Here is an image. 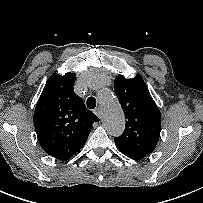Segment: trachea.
Instances as JSON below:
<instances>
[{
	"label": "trachea",
	"mask_w": 203,
	"mask_h": 203,
	"mask_svg": "<svg viewBox=\"0 0 203 203\" xmlns=\"http://www.w3.org/2000/svg\"><path fill=\"white\" fill-rule=\"evenodd\" d=\"M86 104L89 109H94L96 107V99L94 97H89Z\"/></svg>",
	"instance_id": "obj_1"
}]
</instances>
